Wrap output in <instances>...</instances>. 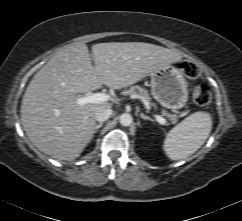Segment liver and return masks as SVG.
I'll return each instance as SVG.
<instances>
[{"instance_id":"1","label":"liver","mask_w":242,"mask_h":221,"mask_svg":"<svg viewBox=\"0 0 242 221\" xmlns=\"http://www.w3.org/2000/svg\"><path fill=\"white\" fill-rule=\"evenodd\" d=\"M64 46L32 78L21 105L24 130L41 152L56 160L73 161L90 142L95 110L111 103H77V94L105 85L125 88L157 69L181 61L180 53L143 42H110Z\"/></svg>"}]
</instances>
